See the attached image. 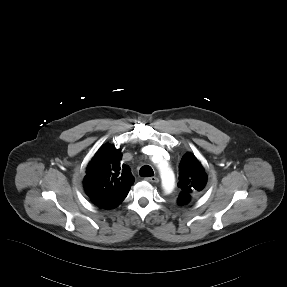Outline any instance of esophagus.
<instances>
[{
  "label": "esophagus",
  "mask_w": 287,
  "mask_h": 287,
  "mask_svg": "<svg viewBox=\"0 0 287 287\" xmlns=\"http://www.w3.org/2000/svg\"><path fill=\"white\" fill-rule=\"evenodd\" d=\"M145 180L148 182H152V183H158L159 182V179L155 176L146 177Z\"/></svg>",
  "instance_id": "1"
}]
</instances>
